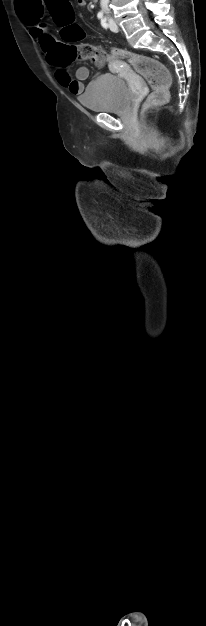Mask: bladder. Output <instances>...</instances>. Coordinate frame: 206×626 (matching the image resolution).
I'll return each mask as SVG.
<instances>
[{"label":"bladder","instance_id":"31cf9c89","mask_svg":"<svg viewBox=\"0 0 206 626\" xmlns=\"http://www.w3.org/2000/svg\"><path fill=\"white\" fill-rule=\"evenodd\" d=\"M131 94L127 83L114 75H102L79 96V102L93 112L118 113L127 110Z\"/></svg>","mask_w":206,"mask_h":626}]
</instances>
